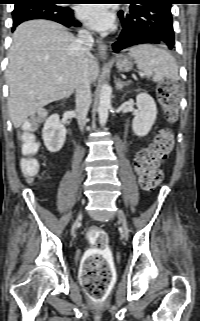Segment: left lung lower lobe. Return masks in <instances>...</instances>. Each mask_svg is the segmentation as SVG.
<instances>
[{
  "label": "left lung lower lobe",
  "mask_w": 200,
  "mask_h": 321,
  "mask_svg": "<svg viewBox=\"0 0 200 321\" xmlns=\"http://www.w3.org/2000/svg\"><path fill=\"white\" fill-rule=\"evenodd\" d=\"M128 4L129 9L118 13L123 29L113 44L115 52L148 43L174 47L172 0H134Z\"/></svg>",
  "instance_id": "1"
}]
</instances>
